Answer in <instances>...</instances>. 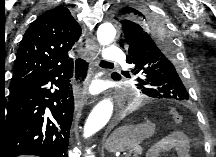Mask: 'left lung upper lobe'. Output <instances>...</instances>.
<instances>
[{
  "mask_svg": "<svg viewBox=\"0 0 216 157\" xmlns=\"http://www.w3.org/2000/svg\"><path fill=\"white\" fill-rule=\"evenodd\" d=\"M114 19L121 30L120 42L137 86L147 96L162 100H189L179 74L172 35L153 10L138 5L120 6Z\"/></svg>",
  "mask_w": 216,
  "mask_h": 157,
  "instance_id": "1",
  "label": "left lung upper lobe"
}]
</instances>
